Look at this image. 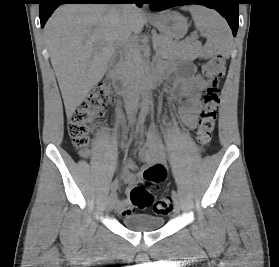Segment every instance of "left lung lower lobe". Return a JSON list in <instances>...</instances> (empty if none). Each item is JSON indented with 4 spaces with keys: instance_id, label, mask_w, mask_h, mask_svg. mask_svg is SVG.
Masks as SVG:
<instances>
[{
    "instance_id": "left-lung-lower-lobe-1",
    "label": "left lung lower lobe",
    "mask_w": 279,
    "mask_h": 267,
    "mask_svg": "<svg viewBox=\"0 0 279 267\" xmlns=\"http://www.w3.org/2000/svg\"><path fill=\"white\" fill-rule=\"evenodd\" d=\"M148 3L153 10H164L185 4L206 5L222 14L230 25L233 35L237 34L239 0H149Z\"/></svg>"
}]
</instances>
